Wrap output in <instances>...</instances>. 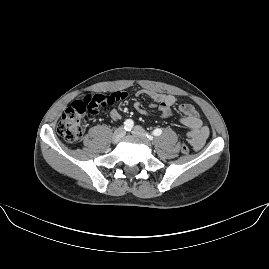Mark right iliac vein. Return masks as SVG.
I'll use <instances>...</instances> for the list:
<instances>
[{
    "instance_id": "right-iliac-vein-1",
    "label": "right iliac vein",
    "mask_w": 269,
    "mask_h": 269,
    "mask_svg": "<svg viewBox=\"0 0 269 269\" xmlns=\"http://www.w3.org/2000/svg\"><path fill=\"white\" fill-rule=\"evenodd\" d=\"M125 130H124V128H122V127H120V128H118L115 132H114V134H113V136H112V142L114 143V144H116V143H118L120 140H121V138H123L124 136H125Z\"/></svg>"
}]
</instances>
